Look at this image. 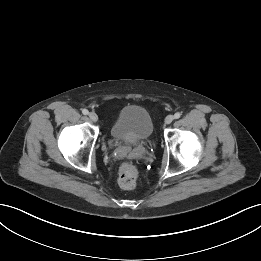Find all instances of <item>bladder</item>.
<instances>
[{
	"label": "bladder",
	"mask_w": 261,
	"mask_h": 261,
	"mask_svg": "<svg viewBox=\"0 0 261 261\" xmlns=\"http://www.w3.org/2000/svg\"><path fill=\"white\" fill-rule=\"evenodd\" d=\"M150 113L142 106L123 107L113 121L111 136L118 142L134 145L147 140L153 133Z\"/></svg>",
	"instance_id": "31cf9c89"
}]
</instances>
